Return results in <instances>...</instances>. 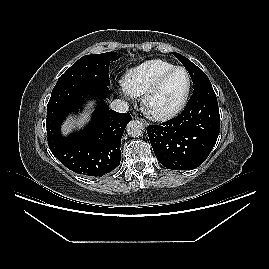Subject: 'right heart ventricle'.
<instances>
[{"mask_svg":"<svg viewBox=\"0 0 269 269\" xmlns=\"http://www.w3.org/2000/svg\"><path fill=\"white\" fill-rule=\"evenodd\" d=\"M174 64L163 59L147 60L130 69L123 78L125 88L135 96L143 95Z\"/></svg>","mask_w":269,"mask_h":269,"instance_id":"e07e8e85","label":"right heart ventricle"}]
</instances>
